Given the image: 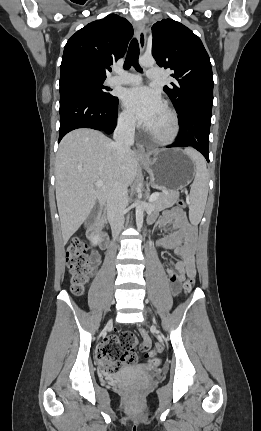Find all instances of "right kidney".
<instances>
[{
	"instance_id": "obj_1",
	"label": "right kidney",
	"mask_w": 261,
	"mask_h": 431,
	"mask_svg": "<svg viewBox=\"0 0 261 431\" xmlns=\"http://www.w3.org/2000/svg\"><path fill=\"white\" fill-rule=\"evenodd\" d=\"M99 240H100V237L97 234H92L90 236V241H91L92 245H94V246L98 244Z\"/></svg>"
}]
</instances>
